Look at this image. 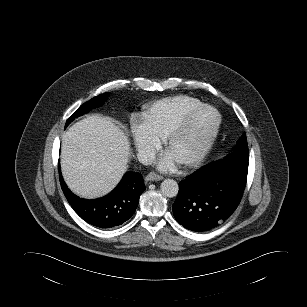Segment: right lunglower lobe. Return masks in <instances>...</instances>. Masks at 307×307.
Here are the masks:
<instances>
[{
  "instance_id": "98d812e1",
  "label": "right lung lower lobe",
  "mask_w": 307,
  "mask_h": 307,
  "mask_svg": "<svg viewBox=\"0 0 307 307\" xmlns=\"http://www.w3.org/2000/svg\"><path fill=\"white\" fill-rule=\"evenodd\" d=\"M60 183L66 199L74 211L92 226L109 229L127 221L135 212L139 197L145 190L140 173L127 172L108 195L87 200L73 194L60 173Z\"/></svg>"
}]
</instances>
